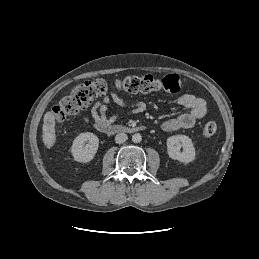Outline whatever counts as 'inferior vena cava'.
<instances>
[{
	"label": "inferior vena cava",
	"mask_w": 259,
	"mask_h": 259,
	"mask_svg": "<svg viewBox=\"0 0 259 259\" xmlns=\"http://www.w3.org/2000/svg\"><path fill=\"white\" fill-rule=\"evenodd\" d=\"M127 139H128V136L125 133H118L115 136V142L118 144L124 143Z\"/></svg>",
	"instance_id": "obj_1"
}]
</instances>
